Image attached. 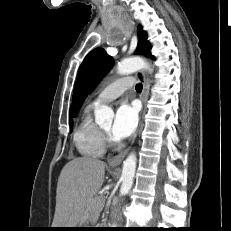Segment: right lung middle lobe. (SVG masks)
Here are the masks:
<instances>
[{
	"label": "right lung middle lobe",
	"instance_id": "right-lung-middle-lobe-1",
	"mask_svg": "<svg viewBox=\"0 0 231 231\" xmlns=\"http://www.w3.org/2000/svg\"><path fill=\"white\" fill-rule=\"evenodd\" d=\"M72 123H73V121H72V119H70V125H72Z\"/></svg>",
	"mask_w": 231,
	"mask_h": 231
}]
</instances>
